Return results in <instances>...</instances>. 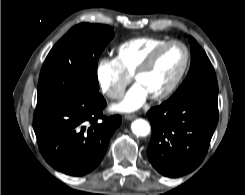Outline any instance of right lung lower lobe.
Instances as JSON below:
<instances>
[{
  "mask_svg": "<svg viewBox=\"0 0 245 195\" xmlns=\"http://www.w3.org/2000/svg\"><path fill=\"white\" fill-rule=\"evenodd\" d=\"M105 106L99 93L36 107L33 127L39 149L53 168L82 176L99 165L112 134L121 124L119 115L103 116Z\"/></svg>",
  "mask_w": 245,
  "mask_h": 195,
  "instance_id": "right-lung-lower-lobe-1",
  "label": "right lung lower lobe"
}]
</instances>
